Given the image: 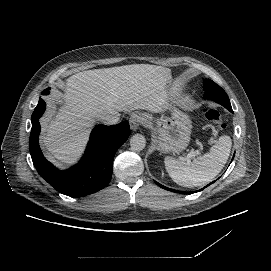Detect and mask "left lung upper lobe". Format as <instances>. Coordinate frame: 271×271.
I'll return each instance as SVG.
<instances>
[{"label":"left lung upper lobe","mask_w":271,"mask_h":271,"mask_svg":"<svg viewBox=\"0 0 271 271\" xmlns=\"http://www.w3.org/2000/svg\"><path fill=\"white\" fill-rule=\"evenodd\" d=\"M204 89L206 91L205 96H204L205 98L211 99L221 104L222 106L227 108L229 111L232 110L227 94L219 85H217L215 82H213L210 79L204 80Z\"/></svg>","instance_id":"5c2ea615"}]
</instances>
